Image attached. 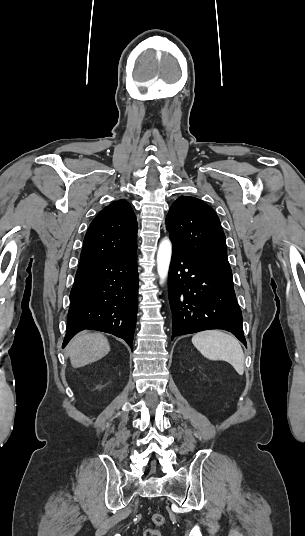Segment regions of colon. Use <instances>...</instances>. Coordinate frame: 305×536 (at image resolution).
I'll use <instances>...</instances> for the list:
<instances>
[{"label": "colon", "mask_w": 305, "mask_h": 536, "mask_svg": "<svg viewBox=\"0 0 305 536\" xmlns=\"http://www.w3.org/2000/svg\"><path fill=\"white\" fill-rule=\"evenodd\" d=\"M151 522L157 526L163 525L165 517L160 513H153L151 515ZM143 536H161V534L157 529L148 528L144 531Z\"/></svg>", "instance_id": "5ec220e1"}]
</instances>
